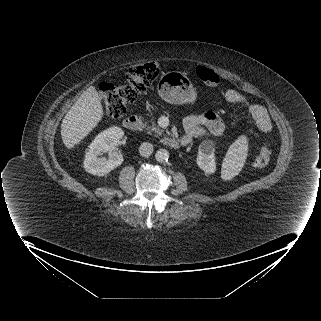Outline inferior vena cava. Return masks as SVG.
I'll return each mask as SVG.
<instances>
[{
  "mask_svg": "<svg viewBox=\"0 0 321 321\" xmlns=\"http://www.w3.org/2000/svg\"><path fill=\"white\" fill-rule=\"evenodd\" d=\"M153 152V145L148 142H143L139 147V153L143 157H149Z\"/></svg>",
  "mask_w": 321,
  "mask_h": 321,
  "instance_id": "inferior-vena-cava-1",
  "label": "inferior vena cava"
}]
</instances>
